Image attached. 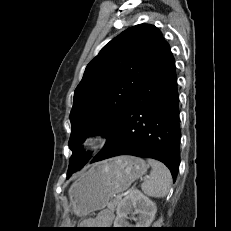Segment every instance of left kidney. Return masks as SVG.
<instances>
[{
  "label": "left kidney",
  "mask_w": 231,
  "mask_h": 231,
  "mask_svg": "<svg viewBox=\"0 0 231 231\" xmlns=\"http://www.w3.org/2000/svg\"><path fill=\"white\" fill-rule=\"evenodd\" d=\"M138 214L135 218V226H130L126 221L127 215L132 213ZM157 211L156 204L139 190H133L129 193L117 207V217L114 221V228H148L154 220Z\"/></svg>",
  "instance_id": "5707ae66"
}]
</instances>
